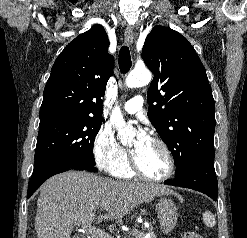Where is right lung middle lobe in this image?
Returning a JSON list of instances; mask_svg holds the SVG:
<instances>
[{"label": "right lung middle lobe", "instance_id": "obj_1", "mask_svg": "<svg viewBox=\"0 0 247 238\" xmlns=\"http://www.w3.org/2000/svg\"><path fill=\"white\" fill-rule=\"evenodd\" d=\"M101 124L102 118L40 124L31 179L36 178L44 169L58 164L77 170L97 171L93 144Z\"/></svg>", "mask_w": 247, "mask_h": 238}]
</instances>
